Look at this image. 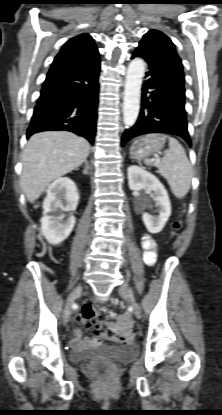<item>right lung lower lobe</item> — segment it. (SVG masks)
<instances>
[{
    "mask_svg": "<svg viewBox=\"0 0 222 415\" xmlns=\"http://www.w3.org/2000/svg\"><path fill=\"white\" fill-rule=\"evenodd\" d=\"M99 55L54 60L34 108L27 138L36 132L66 130L94 142L99 93Z\"/></svg>",
    "mask_w": 222,
    "mask_h": 415,
    "instance_id": "obj_1",
    "label": "right lung lower lobe"
}]
</instances>
